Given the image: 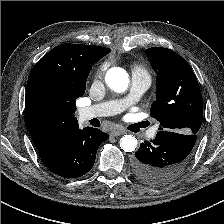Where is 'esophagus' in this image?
Masks as SVG:
<instances>
[{
	"label": "esophagus",
	"instance_id": "34e87169",
	"mask_svg": "<svg viewBox=\"0 0 224 224\" xmlns=\"http://www.w3.org/2000/svg\"><path fill=\"white\" fill-rule=\"evenodd\" d=\"M124 133H125V131H123V130H117V129H115V130L111 131L110 134L113 137H117V136H120V135H122Z\"/></svg>",
	"mask_w": 224,
	"mask_h": 224
}]
</instances>
